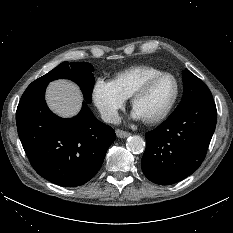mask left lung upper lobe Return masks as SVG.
<instances>
[{"label":"left lung upper lobe","mask_w":233,"mask_h":233,"mask_svg":"<svg viewBox=\"0 0 233 233\" xmlns=\"http://www.w3.org/2000/svg\"><path fill=\"white\" fill-rule=\"evenodd\" d=\"M182 78L184 83L183 97L175 111L195 101L212 97L210 90L204 82L189 70L185 69L183 71Z\"/></svg>","instance_id":"left-lung-upper-lobe-1"}]
</instances>
